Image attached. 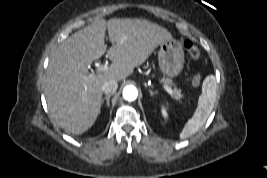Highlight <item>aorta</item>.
Here are the masks:
<instances>
[{
    "mask_svg": "<svg viewBox=\"0 0 267 178\" xmlns=\"http://www.w3.org/2000/svg\"><path fill=\"white\" fill-rule=\"evenodd\" d=\"M138 96V90L133 85H128L123 89V97L127 101H134Z\"/></svg>",
    "mask_w": 267,
    "mask_h": 178,
    "instance_id": "1",
    "label": "aorta"
}]
</instances>
